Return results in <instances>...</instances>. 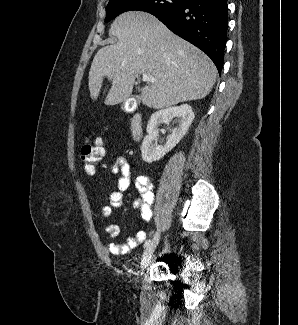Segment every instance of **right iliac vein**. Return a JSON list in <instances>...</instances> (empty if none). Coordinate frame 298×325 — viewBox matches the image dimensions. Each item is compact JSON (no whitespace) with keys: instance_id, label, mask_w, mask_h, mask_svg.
<instances>
[{"instance_id":"1","label":"right iliac vein","mask_w":298,"mask_h":325,"mask_svg":"<svg viewBox=\"0 0 298 325\" xmlns=\"http://www.w3.org/2000/svg\"><path fill=\"white\" fill-rule=\"evenodd\" d=\"M159 239H160V231H157L153 239L151 240L150 244L148 245V247L145 249L143 253L142 262H141L142 270H144L148 266V263L150 262L151 257L159 243Z\"/></svg>"}]
</instances>
